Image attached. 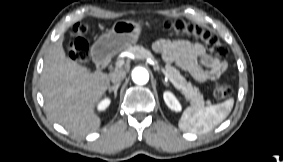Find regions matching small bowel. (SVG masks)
Masks as SVG:
<instances>
[{
    "label": "small bowel",
    "mask_w": 283,
    "mask_h": 162,
    "mask_svg": "<svg viewBox=\"0 0 283 162\" xmlns=\"http://www.w3.org/2000/svg\"><path fill=\"white\" fill-rule=\"evenodd\" d=\"M153 48L166 63L175 64L198 82L218 79L227 68L225 61L210 56L199 43L188 40H157Z\"/></svg>",
    "instance_id": "c3829d8e"
}]
</instances>
